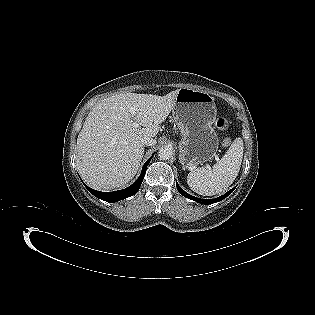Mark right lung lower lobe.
<instances>
[{"instance_id":"98d812e1","label":"right lung lower lobe","mask_w":315,"mask_h":315,"mask_svg":"<svg viewBox=\"0 0 315 315\" xmlns=\"http://www.w3.org/2000/svg\"><path fill=\"white\" fill-rule=\"evenodd\" d=\"M150 161H151V158L143 165L142 172H141V175L139 176V178L128 188L114 191V192H100V191H96V190L88 187L84 183L83 184L89 190V192H91L94 196H96L99 199H102L104 201L111 202V203L120 201L122 199H125L127 197L134 195L139 190V188L142 184L143 178L145 176L146 168H147Z\"/></svg>"}]
</instances>
